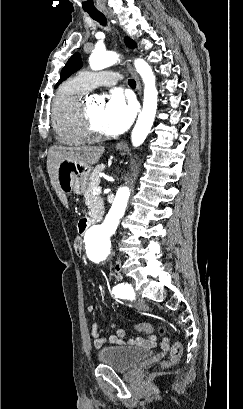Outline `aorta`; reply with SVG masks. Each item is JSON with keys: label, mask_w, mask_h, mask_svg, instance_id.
Here are the masks:
<instances>
[{"label": "aorta", "mask_w": 243, "mask_h": 409, "mask_svg": "<svg viewBox=\"0 0 243 409\" xmlns=\"http://www.w3.org/2000/svg\"><path fill=\"white\" fill-rule=\"evenodd\" d=\"M117 61L118 55L116 53L95 50L89 58V65L92 70L98 71L115 64ZM134 65L144 83L143 108L131 134L133 146L138 147L145 141L153 125L157 110L158 91L150 65L143 59H136ZM129 196V188L120 187L105 220L87 229L84 240L88 253L95 251L103 256L109 254L110 237L115 233L120 219L125 213Z\"/></svg>", "instance_id": "762f6f07"}]
</instances>
